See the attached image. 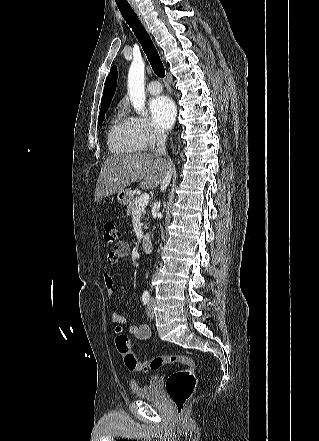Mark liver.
<instances>
[{
  "mask_svg": "<svg viewBox=\"0 0 319 441\" xmlns=\"http://www.w3.org/2000/svg\"><path fill=\"white\" fill-rule=\"evenodd\" d=\"M168 163L153 155L124 154L106 159L95 188V201L124 190L131 183L141 181V188L157 187L168 172Z\"/></svg>",
  "mask_w": 319,
  "mask_h": 441,
  "instance_id": "1",
  "label": "liver"
}]
</instances>
